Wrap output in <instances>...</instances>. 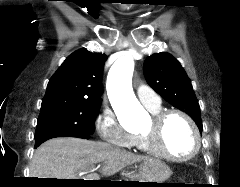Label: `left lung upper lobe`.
I'll return each instance as SVG.
<instances>
[{"mask_svg":"<svg viewBox=\"0 0 240 187\" xmlns=\"http://www.w3.org/2000/svg\"><path fill=\"white\" fill-rule=\"evenodd\" d=\"M143 71L150 87L168 103L190 115L201 132L200 106L181 64L168 53H156L146 58Z\"/></svg>","mask_w":240,"mask_h":187,"instance_id":"5c2ea615","label":"left lung upper lobe"}]
</instances>
